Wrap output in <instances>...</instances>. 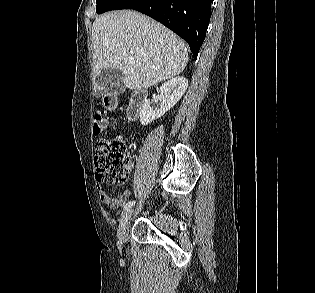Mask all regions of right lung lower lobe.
<instances>
[{"label": "right lung lower lobe", "instance_id": "obj_1", "mask_svg": "<svg viewBox=\"0 0 315 293\" xmlns=\"http://www.w3.org/2000/svg\"><path fill=\"white\" fill-rule=\"evenodd\" d=\"M212 0H117L109 10L134 9L159 21L190 46L197 57L205 39Z\"/></svg>", "mask_w": 315, "mask_h": 293}]
</instances>
